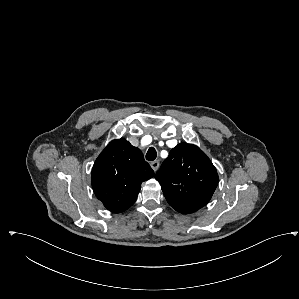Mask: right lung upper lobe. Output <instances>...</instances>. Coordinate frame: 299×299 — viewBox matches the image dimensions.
I'll list each match as a JSON object with an SVG mask.
<instances>
[{
	"label": "right lung upper lobe",
	"mask_w": 299,
	"mask_h": 299,
	"mask_svg": "<svg viewBox=\"0 0 299 299\" xmlns=\"http://www.w3.org/2000/svg\"><path fill=\"white\" fill-rule=\"evenodd\" d=\"M154 176L142 152L124 139L111 141L92 168V187L97 198L114 213L130 208L141 183Z\"/></svg>",
	"instance_id": "right-lung-upper-lobe-1"
}]
</instances>
